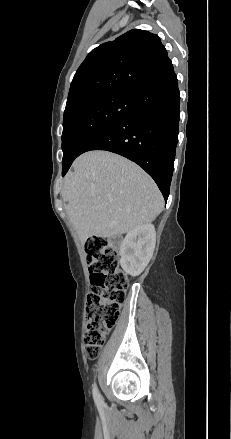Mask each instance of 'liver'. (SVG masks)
Listing matches in <instances>:
<instances>
[{"mask_svg": "<svg viewBox=\"0 0 231 439\" xmlns=\"http://www.w3.org/2000/svg\"><path fill=\"white\" fill-rule=\"evenodd\" d=\"M66 213L80 240L110 238L151 223L164 200L138 165L107 151L80 155L64 179Z\"/></svg>", "mask_w": 231, "mask_h": 439, "instance_id": "6515ba94", "label": "liver"}]
</instances>
